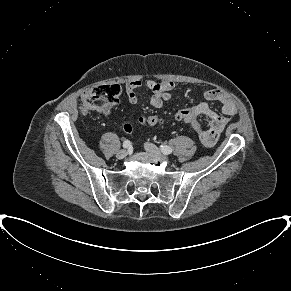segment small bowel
I'll list each match as a JSON object with an SVG mask.
<instances>
[{"mask_svg": "<svg viewBox=\"0 0 291 291\" xmlns=\"http://www.w3.org/2000/svg\"><path fill=\"white\" fill-rule=\"evenodd\" d=\"M174 87V83L168 80H135L126 85V93L129 103L137 106L140 104V101L136 94V90L139 88H145L152 93L150 105L154 108H161L164 102L171 98V92ZM204 97L209 101H216L220 103L222 115L213 111L207 103H200L190 109L196 117L203 115L208 118L209 128L199 134V139L202 144L212 146L214 145L219 134L225 129L230 117L237 113V109L232 100L220 90H206L204 92Z\"/></svg>", "mask_w": 291, "mask_h": 291, "instance_id": "1", "label": "small bowel"}]
</instances>
